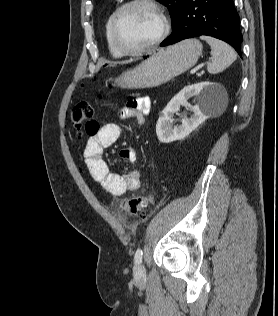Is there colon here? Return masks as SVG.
Segmentation results:
<instances>
[{"mask_svg":"<svg viewBox=\"0 0 278 316\" xmlns=\"http://www.w3.org/2000/svg\"><path fill=\"white\" fill-rule=\"evenodd\" d=\"M94 108L85 101L77 102L71 111V121L76 128V136L82 138L84 134L93 135L98 131L99 125L93 120ZM155 199V193L131 197L123 202L124 212L131 217L143 215Z\"/></svg>","mask_w":278,"mask_h":316,"instance_id":"1","label":"colon"}]
</instances>
